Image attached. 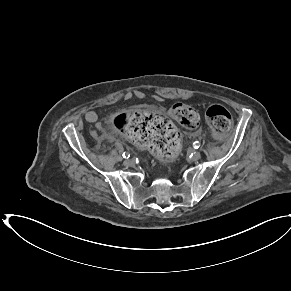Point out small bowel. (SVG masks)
I'll return each mask as SVG.
<instances>
[{"instance_id":"1","label":"small bowel","mask_w":291,"mask_h":291,"mask_svg":"<svg viewBox=\"0 0 291 291\" xmlns=\"http://www.w3.org/2000/svg\"><path fill=\"white\" fill-rule=\"evenodd\" d=\"M140 91L139 90H133L132 91V95L134 97H138L139 96ZM85 119L90 122V123H94V124H98V116L95 112L93 111H88L85 114ZM92 137L94 139H96L97 141H102L104 139V136L101 134H98L96 132H92L91 133Z\"/></svg>"}]
</instances>
